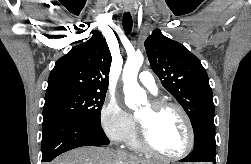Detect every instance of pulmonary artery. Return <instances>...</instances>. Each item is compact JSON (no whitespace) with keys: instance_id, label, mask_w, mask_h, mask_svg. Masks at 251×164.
<instances>
[{"instance_id":"e3ab8cb5","label":"pulmonary artery","mask_w":251,"mask_h":164,"mask_svg":"<svg viewBox=\"0 0 251 164\" xmlns=\"http://www.w3.org/2000/svg\"><path fill=\"white\" fill-rule=\"evenodd\" d=\"M139 82L152 94H157V85L153 75L148 71H142L139 74Z\"/></svg>"}]
</instances>
